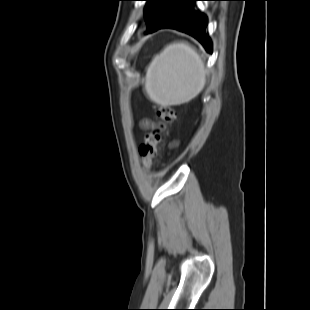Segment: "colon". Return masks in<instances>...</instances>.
<instances>
[{
	"instance_id": "obj_1",
	"label": "colon",
	"mask_w": 310,
	"mask_h": 310,
	"mask_svg": "<svg viewBox=\"0 0 310 310\" xmlns=\"http://www.w3.org/2000/svg\"><path fill=\"white\" fill-rule=\"evenodd\" d=\"M157 117L158 121L153 125L152 129L145 134L144 140L139 148L142 164L147 170L152 169L154 159L163 142L164 134L168 126L175 120L176 113L171 105L160 104L157 107Z\"/></svg>"
}]
</instances>
